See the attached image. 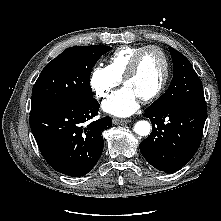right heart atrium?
Here are the masks:
<instances>
[{
  "label": "right heart atrium",
  "instance_id": "d8ad5b80",
  "mask_svg": "<svg viewBox=\"0 0 221 221\" xmlns=\"http://www.w3.org/2000/svg\"><path fill=\"white\" fill-rule=\"evenodd\" d=\"M120 79L115 77L107 67L93 68L89 76V85L98 98H106L118 86Z\"/></svg>",
  "mask_w": 221,
  "mask_h": 221
}]
</instances>
